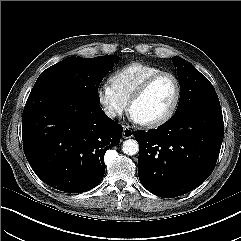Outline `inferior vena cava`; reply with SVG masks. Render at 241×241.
Here are the masks:
<instances>
[{
    "label": "inferior vena cava",
    "instance_id": "inferior-vena-cava-1",
    "mask_svg": "<svg viewBox=\"0 0 241 241\" xmlns=\"http://www.w3.org/2000/svg\"><path fill=\"white\" fill-rule=\"evenodd\" d=\"M104 111L108 117H110V118L116 117V111L113 108L108 107V108H105Z\"/></svg>",
    "mask_w": 241,
    "mask_h": 241
}]
</instances>
